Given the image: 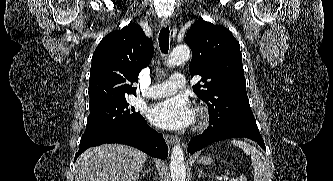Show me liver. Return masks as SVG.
Listing matches in <instances>:
<instances>
[{"mask_svg":"<svg viewBox=\"0 0 333 181\" xmlns=\"http://www.w3.org/2000/svg\"><path fill=\"white\" fill-rule=\"evenodd\" d=\"M147 155L120 144H104L83 152L75 164V181H137Z\"/></svg>","mask_w":333,"mask_h":181,"instance_id":"obj_1","label":"liver"}]
</instances>
